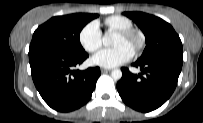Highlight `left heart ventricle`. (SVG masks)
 Here are the masks:
<instances>
[{"label": "left heart ventricle", "mask_w": 203, "mask_h": 123, "mask_svg": "<svg viewBox=\"0 0 203 123\" xmlns=\"http://www.w3.org/2000/svg\"><path fill=\"white\" fill-rule=\"evenodd\" d=\"M134 44H135L134 40L126 39V38L120 36L119 34H116L112 41L113 46L124 45V46L130 48L132 51L134 49Z\"/></svg>", "instance_id": "obj_1"}]
</instances>
